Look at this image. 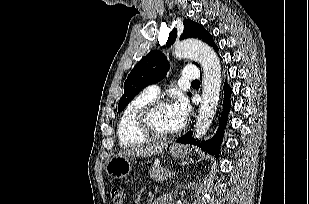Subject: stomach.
<instances>
[{
	"label": "stomach",
	"mask_w": 309,
	"mask_h": 204,
	"mask_svg": "<svg viewBox=\"0 0 309 204\" xmlns=\"http://www.w3.org/2000/svg\"><path fill=\"white\" fill-rule=\"evenodd\" d=\"M191 149L184 145H172L169 147V154L176 159H183ZM132 170V162L127 155H114L106 164L107 174L114 179H122L130 174Z\"/></svg>",
	"instance_id": "stomach-1"
}]
</instances>
